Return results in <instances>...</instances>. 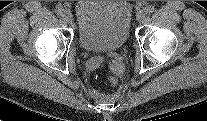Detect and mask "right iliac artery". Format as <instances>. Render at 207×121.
<instances>
[{"mask_svg": "<svg viewBox=\"0 0 207 121\" xmlns=\"http://www.w3.org/2000/svg\"><path fill=\"white\" fill-rule=\"evenodd\" d=\"M55 13L58 15V16H63V13H64V9L62 7H58L55 9Z\"/></svg>", "mask_w": 207, "mask_h": 121, "instance_id": "82829eb1", "label": "right iliac artery"}]
</instances>
